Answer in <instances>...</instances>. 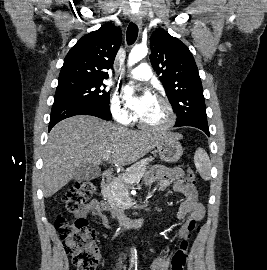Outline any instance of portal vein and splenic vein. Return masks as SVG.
<instances>
[{
	"label": "portal vein and splenic vein",
	"mask_w": 267,
	"mask_h": 270,
	"mask_svg": "<svg viewBox=\"0 0 267 270\" xmlns=\"http://www.w3.org/2000/svg\"><path fill=\"white\" fill-rule=\"evenodd\" d=\"M108 159H109L108 156L104 157V160H108ZM125 181L126 182H129V183L133 182V180H131V179H125Z\"/></svg>",
	"instance_id": "portal-vein-and-splenic-vein-1"
}]
</instances>
